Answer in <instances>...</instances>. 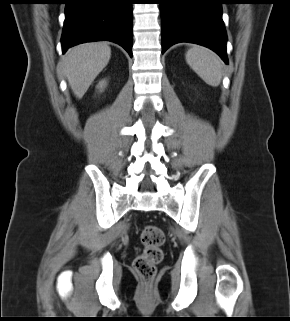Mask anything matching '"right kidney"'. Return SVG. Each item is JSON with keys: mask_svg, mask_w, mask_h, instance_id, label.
Here are the masks:
<instances>
[{"mask_svg": "<svg viewBox=\"0 0 290 321\" xmlns=\"http://www.w3.org/2000/svg\"><path fill=\"white\" fill-rule=\"evenodd\" d=\"M106 84H107L106 80H102L97 85V88L103 90L105 88Z\"/></svg>", "mask_w": 290, "mask_h": 321, "instance_id": "1", "label": "right kidney"}]
</instances>
